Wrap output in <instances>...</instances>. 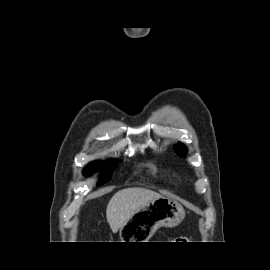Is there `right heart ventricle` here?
<instances>
[{"label": "right heart ventricle", "instance_id": "e07e8e85", "mask_svg": "<svg viewBox=\"0 0 270 270\" xmlns=\"http://www.w3.org/2000/svg\"><path fill=\"white\" fill-rule=\"evenodd\" d=\"M152 174L155 175V171H152Z\"/></svg>", "mask_w": 270, "mask_h": 270}]
</instances>
